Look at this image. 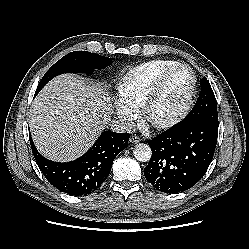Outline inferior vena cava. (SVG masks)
<instances>
[{"label":"inferior vena cava","mask_w":249,"mask_h":249,"mask_svg":"<svg viewBox=\"0 0 249 249\" xmlns=\"http://www.w3.org/2000/svg\"><path fill=\"white\" fill-rule=\"evenodd\" d=\"M110 128L114 132L124 133V132H132L133 124L129 121L123 119L112 120L110 122Z\"/></svg>","instance_id":"obj_1"}]
</instances>
